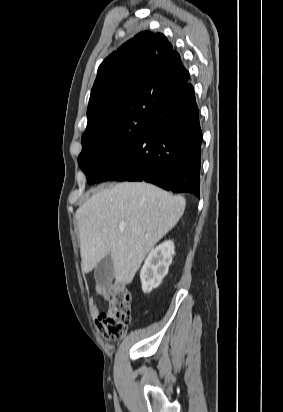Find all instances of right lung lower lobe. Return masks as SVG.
Returning <instances> with one entry per match:
<instances>
[{
  "label": "right lung lower lobe",
  "instance_id": "1",
  "mask_svg": "<svg viewBox=\"0 0 283 412\" xmlns=\"http://www.w3.org/2000/svg\"><path fill=\"white\" fill-rule=\"evenodd\" d=\"M201 142L194 89L186 83L167 99L129 150L96 182L146 181L199 198Z\"/></svg>",
  "mask_w": 283,
  "mask_h": 412
}]
</instances>
